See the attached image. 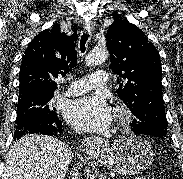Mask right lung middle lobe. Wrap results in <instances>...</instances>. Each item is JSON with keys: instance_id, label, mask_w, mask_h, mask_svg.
I'll return each instance as SVG.
<instances>
[{"instance_id": "1", "label": "right lung middle lobe", "mask_w": 183, "mask_h": 179, "mask_svg": "<svg viewBox=\"0 0 183 179\" xmlns=\"http://www.w3.org/2000/svg\"><path fill=\"white\" fill-rule=\"evenodd\" d=\"M54 94L18 98L16 131L36 124H50L58 120L56 108L49 103Z\"/></svg>"}]
</instances>
